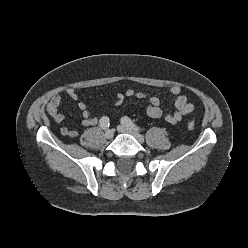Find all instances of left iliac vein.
I'll use <instances>...</instances> for the list:
<instances>
[{
	"instance_id": "1",
	"label": "left iliac vein",
	"mask_w": 248,
	"mask_h": 248,
	"mask_svg": "<svg viewBox=\"0 0 248 248\" xmlns=\"http://www.w3.org/2000/svg\"><path fill=\"white\" fill-rule=\"evenodd\" d=\"M118 131L121 132V133H127V134H130L132 135L134 138H136L139 142H144V137L138 133L137 131L125 126V125H119L117 127Z\"/></svg>"
}]
</instances>
